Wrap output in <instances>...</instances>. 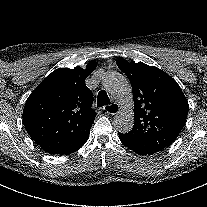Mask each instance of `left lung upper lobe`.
Returning a JSON list of instances; mask_svg holds the SVG:
<instances>
[{
	"label": "left lung upper lobe",
	"instance_id": "5c2ea615",
	"mask_svg": "<svg viewBox=\"0 0 207 207\" xmlns=\"http://www.w3.org/2000/svg\"><path fill=\"white\" fill-rule=\"evenodd\" d=\"M117 65L128 77L134 98L135 123L123 136L130 148L162 151L183 129L188 101L178 83L159 68L123 58Z\"/></svg>",
	"mask_w": 207,
	"mask_h": 207
}]
</instances>
